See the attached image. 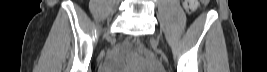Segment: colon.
Returning <instances> with one entry per match:
<instances>
[{
	"label": "colon",
	"mask_w": 267,
	"mask_h": 72,
	"mask_svg": "<svg viewBox=\"0 0 267 72\" xmlns=\"http://www.w3.org/2000/svg\"><path fill=\"white\" fill-rule=\"evenodd\" d=\"M200 3L201 5H207L208 3H209V0H199V1H197V3Z\"/></svg>",
	"instance_id": "5ec220e1"
}]
</instances>
